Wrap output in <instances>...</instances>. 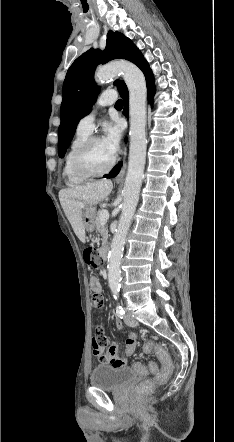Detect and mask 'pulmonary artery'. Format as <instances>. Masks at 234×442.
Instances as JSON below:
<instances>
[{
  "mask_svg": "<svg viewBox=\"0 0 234 442\" xmlns=\"http://www.w3.org/2000/svg\"><path fill=\"white\" fill-rule=\"evenodd\" d=\"M116 101V94L111 91L103 92L97 99L92 110L82 117L77 125V130L91 134L94 129V121L97 115V111L100 107L111 105Z\"/></svg>",
  "mask_w": 234,
  "mask_h": 442,
  "instance_id": "1",
  "label": "pulmonary artery"
}]
</instances>
